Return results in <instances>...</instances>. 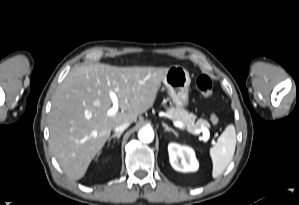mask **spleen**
Instances as JSON below:
<instances>
[{
  "label": "spleen",
  "mask_w": 299,
  "mask_h": 205,
  "mask_svg": "<svg viewBox=\"0 0 299 205\" xmlns=\"http://www.w3.org/2000/svg\"><path fill=\"white\" fill-rule=\"evenodd\" d=\"M236 147L235 127L229 124L209 151L213 163L212 177H219L232 161Z\"/></svg>",
  "instance_id": "obj_1"
}]
</instances>
